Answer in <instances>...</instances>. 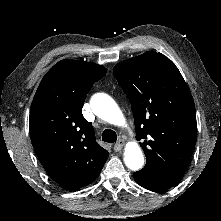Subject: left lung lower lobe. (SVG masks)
Here are the masks:
<instances>
[{
  "label": "left lung lower lobe",
  "instance_id": "left-lung-lower-lobe-1",
  "mask_svg": "<svg viewBox=\"0 0 221 221\" xmlns=\"http://www.w3.org/2000/svg\"><path fill=\"white\" fill-rule=\"evenodd\" d=\"M135 181L145 189L154 192H161L176 185L182 177L171 176H151L134 173Z\"/></svg>",
  "mask_w": 221,
  "mask_h": 221
}]
</instances>
